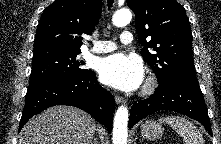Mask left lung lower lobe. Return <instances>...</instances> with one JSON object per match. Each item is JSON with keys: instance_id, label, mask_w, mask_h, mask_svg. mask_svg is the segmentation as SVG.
I'll return each instance as SVG.
<instances>
[{"instance_id": "left-lung-lower-lobe-1", "label": "left lung lower lobe", "mask_w": 221, "mask_h": 144, "mask_svg": "<svg viewBox=\"0 0 221 144\" xmlns=\"http://www.w3.org/2000/svg\"><path fill=\"white\" fill-rule=\"evenodd\" d=\"M162 110L175 111L197 120L212 136L208 111L199 84L183 80L159 83L153 95L133 105L129 128L141 119Z\"/></svg>"}]
</instances>
